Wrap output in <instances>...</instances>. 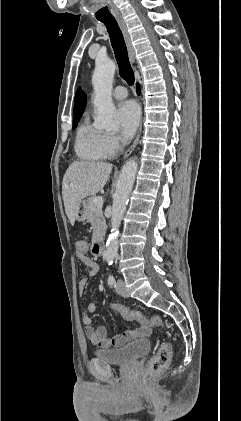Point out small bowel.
<instances>
[{"mask_svg":"<svg viewBox=\"0 0 241 421\" xmlns=\"http://www.w3.org/2000/svg\"><path fill=\"white\" fill-rule=\"evenodd\" d=\"M79 261L84 265L89 276H94L98 272V264L88 255L77 254ZM79 294H83L87 288V279L79 280L78 285ZM97 306L94 301L87 303L82 309V322L85 327V332L91 343L99 348L120 347L129 341L137 338L147 336L151 332V326L142 324L132 330H127L121 334L110 337L105 326H94L92 324L91 315L96 311Z\"/></svg>","mask_w":241,"mask_h":421,"instance_id":"small-bowel-1","label":"small bowel"}]
</instances>
